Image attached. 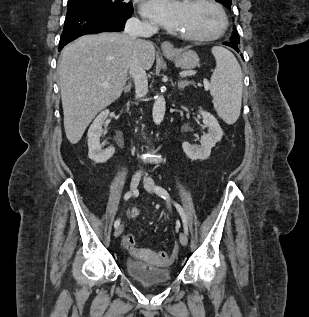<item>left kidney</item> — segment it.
<instances>
[{"label": "left kidney", "instance_id": "1", "mask_svg": "<svg viewBox=\"0 0 309 317\" xmlns=\"http://www.w3.org/2000/svg\"><path fill=\"white\" fill-rule=\"evenodd\" d=\"M203 123L208 127V133L201 137L200 145H191L185 141L182 144L183 151L191 160H205L210 156L211 149L221 140L223 131L217 119L210 113L200 110Z\"/></svg>", "mask_w": 309, "mask_h": 317}]
</instances>
